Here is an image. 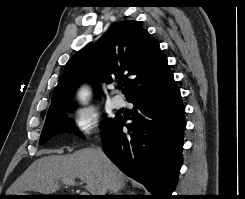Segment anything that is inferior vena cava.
Here are the masks:
<instances>
[{
	"label": "inferior vena cava",
	"mask_w": 245,
	"mask_h": 199,
	"mask_svg": "<svg viewBox=\"0 0 245 199\" xmlns=\"http://www.w3.org/2000/svg\"><path fill=\"white\" fill-rule=\"evenodd\" d=\"M98 152L100 153L101 156H104V153L100 148H98ZM106 192H107V188H104L103 193H101V195H106Z\"/></svg>",
	"instance_id": "1"
}]
</instances>
